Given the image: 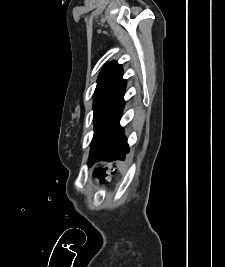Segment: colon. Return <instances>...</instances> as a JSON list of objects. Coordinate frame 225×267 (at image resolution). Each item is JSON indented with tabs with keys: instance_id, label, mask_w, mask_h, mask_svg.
<instances>
[{
	"instance_id": "obj_1",
	"label": "colon",
	"mask_w": 225,
	"mask_h": 267,
	"mask_svg": "<svg viewBox=\"0 0 225 267\" xmlns=\"http://www.w3.org/2000/svg\"><path fill=\"white\" fill-rule=\"evenodd\" d=\"M112 173L113 167L110 164L105 163L101 164L94 170L93 176L98 184L105 185L110 181Z\"/></svg>"
}]
</instances>
